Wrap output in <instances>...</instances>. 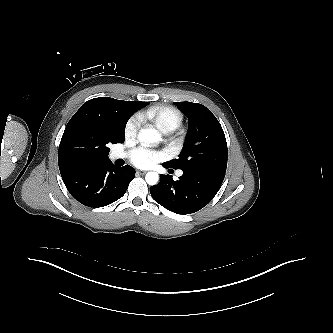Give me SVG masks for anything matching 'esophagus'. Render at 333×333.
Listing matches in <instances>:
<instances>
[{
  "instance_id": "1",
  "label": "esophagus",
  "mask_w": 333,
  "mask_h": 333,
  "mask_svg": "<svg viewBox=\"0 0 333 333\" xmlns=\"http://www.w3.org/2000/svg\"><path fill=\"white\" fill-rule=\"evenodd\" d=\"M145 173V171L136 170V175H144Z\"/></svg>"
}]
</instances>
